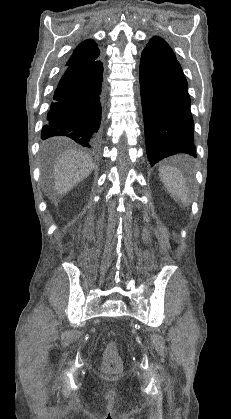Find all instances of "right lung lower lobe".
Wrapping results in <instances>:
<instances>
[{
    "instance_id": "1",
    "label": "right lung lower lobe",
    "mask_w": 231,
    "mask_h": 419,
    "mask_svg": "<svg viewBox=\"0 0 231 419\" xmlns=\"http://www.w3.org/2000/svg\"><path fill=\"white\" fill-rule=\"evenodd\" d=\"M103 65L99 60L66 64L41 138L62 136L97 150L100 139Z\"/></svg>"
}]
</instances>
